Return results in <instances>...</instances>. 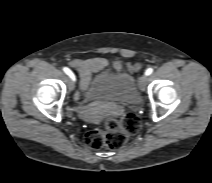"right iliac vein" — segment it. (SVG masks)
Segmentation results:
<instances>
[{
    "instance_id": "obj_1",
    "label": "right iliac vein",
    "mask_w": 212,
    "mask_h": 183,
    "mask_svg": "<svg viewBox=\"0 0 212 183\" xmlns=\"http://www.w3.org/2000/svg\"><path fill=\"white\" fill-rule=\"evenodd\" d=\"M69 86H70V88H71V89H73V87H74V83H73V82H71V83L69 84Z\"/></svg>"
}]
</instances>
